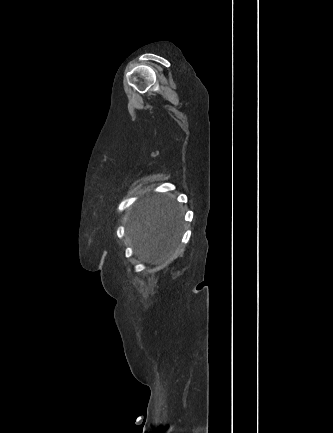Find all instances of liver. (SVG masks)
<instances>
[{"instance_id": "1", "label": "liver", "mask_w": 333, "mask_h": 433, "mask_svg": "<svg viewBox=\"0 0 333 433\" xmlns=\"http://www.w3.org/2000/svg\"><path fill=\"white\" fill-rule=\"evenodd\" d=\"M182 230V214L171 195L140 200L131 211L126 228L135 254L155 264L165 262L173 254Z\"/></svg>"}]
</instances>
